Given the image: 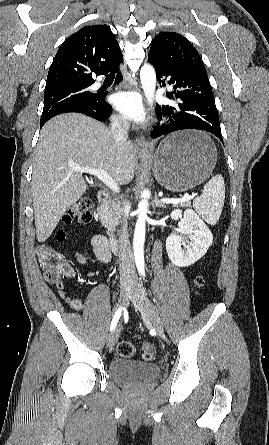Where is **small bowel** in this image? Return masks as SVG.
<instances>
[{
	"mask_svg": "<svg viewBox=\"0 0 269 445\" xmlns=\"http://www.w3.org/2000/svg\"><path fill=\"white\" fill-rule=\"evenodd\" d=\"M92 246L95 252V258L92 259L87 252L81 250L75 253L77 261L83 265L87 266L91 261H97L99 263H108L111 259V252L107 246L106 239L102 235H96L92 238ZM72 270L67 266L66 274L67 276H72ZM72 309L80 311L82 309V303L78 299H72L69 302Z\"/></svg>",
	"mask_w": 269,
	"mask_h": 445,
	"instance_id": "small-bowel-1",
	"label": "small bowel"
}]
</instances>
